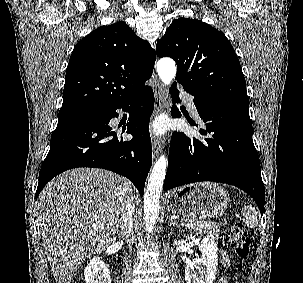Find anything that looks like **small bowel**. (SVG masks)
<instances>
[{
    "label": "small bowel",
    "instance_id": "1",
    "mask_svg": "<svg viewBox=\"0 0 303 283\" xmlns=\"http://www.w3.org/2000/svg\"><path fill=\"white\" fill-rule=\"evenodd\" d=\"M223 260L226 262L227 261V255L225 253L222 254ZM218 283H226L223 278L218 280Z\"/></svg>",
    "mask_w": 303,
    "mask_h": 283
}]
</instances>
